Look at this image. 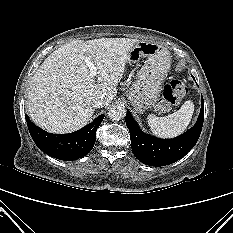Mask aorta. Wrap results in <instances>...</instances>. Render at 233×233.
I'll list each match as a JSON object with an SVG mask.
<instances>
[{"mask_svg": "<svg viewBox=\"0 0 233 233\" xmlns=\"http://www.w3.org/2000/svg\"><path fill=\"white\" fill-rule=\"evenodd\" d=\"M126 115V109L121 105H114L108 111V116L112 120H120Z\"/></svg>", "mask_w": 233, "mask_h": 233, "instance_id": "obj_1", "label": "aorta"}]
</instances>
